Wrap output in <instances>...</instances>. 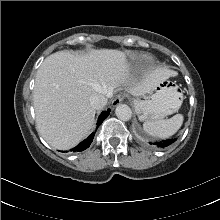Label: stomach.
<instances>
[{
  "label": "stomach",
  "instance_id": "1",
  "mask_svg": "<svg viewBox=\"0 0 220 220\" xmlns=\"http://www.w3.org/2000/svg\"><path fill=\"white\" fill-rule=\"evenodd\" d=\"M178 86L169 80L159 82L146 95L134 100L141 121L160 120L178 111L182 104Z\"/></svg>",
  "mask_w": 220,
  "mask_h": 220
}]
</instances>
